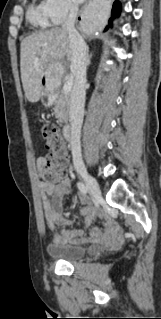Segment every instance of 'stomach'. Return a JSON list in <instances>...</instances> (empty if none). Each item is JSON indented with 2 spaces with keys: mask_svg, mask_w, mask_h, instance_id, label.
I'll return each mask as SVG.
<instances>
[{
  "mask_svg": "<svg viewBox=\"0 0 161 319\" xmlns=\"http://www.w3.org/2000/svg\"><path fill=\"white\" fill-rule=\"evenodd\" d=\"M63 71L62 65L58 63H53L45 69L41 77L42 96L52 99L51 94L60 85Z\"/></svg>",
  "mask_w": 161,
  "mask_h": 319,
  "instance_id": "1",
  "label": "stomach"
}]
</instances>
